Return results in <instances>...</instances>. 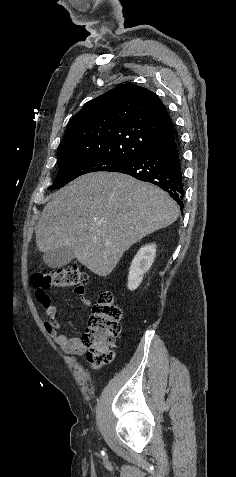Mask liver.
<instances>
[{"mask_svg":"<svg viewBox=\"0 0 236 477\" xmlns=\"http://www.w3.org/2000/svg\"><path fill=\"white\" fill-rule=\"evenodd\" d=\"M178 216L175 201L157 186L116 172L90 173L46 204L36 243L41 252L68 247L82 265L106 277L133 244Z\"/></svg>","mask_w":236,"mask_h":477,"instance_id":"obj_1","label":"liver"}]
</instances>
